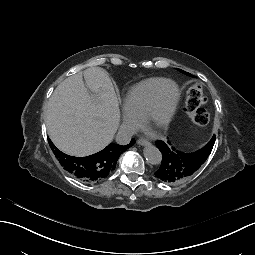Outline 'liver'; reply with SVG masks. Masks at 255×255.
Segmentation results:
<instances>
[{"instance_id": "obj_1", "label": "liver", "mask_w": 255, "mask_h": 255, "mask_svg": "<svg viewBox=\"0 0 255 255\" xmlns=\"http://www.w3.org/2000/svg\"><path fill=\"white\" fill-rule=\"evenodd\" d=\"M84 79L94 94L89 93ZM119 114L116 91L107 72L90 67L68 77L55 89L45 123L49 137L59 150L82 157L111 143Z\"/></svg>"}]
</instances>
